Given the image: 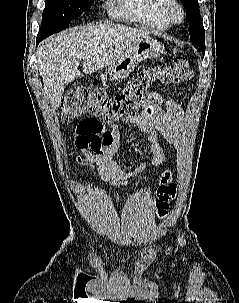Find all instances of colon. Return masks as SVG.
<instances>
[{
  "label": "colon",
  "mask_w": 239,
  "mask_h": 303,
  "mask_svg": "<svg viewBox=\"0 0 239 303\" xmlns=\"http://www.w3.org/2000/svg\"><path fill=\"white\" fill-rule=\"evenodd\" d=\"M192 75L188 60L178 57L170 65L142 69L113 97L99 88H78L65 94L61 104L62 119L70 121L83 114H92L97 122L90 124L88 128L99 131L104 122L112 123L136 116L153 83L179 85L191 79ZM176 193L174 185L160 187L157 190L154 203L159 217L163 218L168 214L169 202L175 199Z\"/></svg>",
  "instance_id": "obj_1"
}]
</instances>
